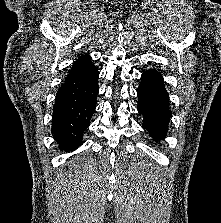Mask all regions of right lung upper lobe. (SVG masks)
I'll return each instance as SVG.
<instances>
[{
    "mask_svg": "<svg viewBox=\"0 0 221 223\" xmlns=\"http://www.w3.org/2000/svg\"><path fill=\"white\" fill-rule=\"evenodd\" d=\"M92 62L91 58L88 56H82L78 58L75 63L73 64L69 74L67 75L65 81L70 80L83 72L87 71L89 68H91Z\"/></svg>",
    "mask_w": 221,
    "mask_h": 223,
    "instance_id": "1",
    "label": "right lung upper lobe"
}]
</instances>
